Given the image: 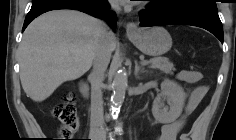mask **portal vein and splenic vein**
Returning <instances> with one entry per match:
<instances>
[{"mask_svg":"<svg viewBox=\"0 0 236 140\" xmlns=\"http://www.w3.org/2000/svg\"><path fill=\"white\" fill-rule=\"evenodd\" d=\"M141 64L142 65H147V64H149V61L143 59V60H141Z\"/></svg>","mask_w":236,"mask_h":140,"instance_id":"obj_1","label":"portal vein and splenic vein"}]
</instances>
